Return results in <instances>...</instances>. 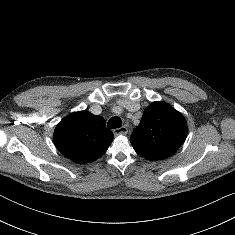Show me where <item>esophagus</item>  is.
Here are the masks:
<instances>
[{
    "instance_id": "34e87169",
    "label": "esophagus",
    "mask_w": 235,
    "mask_h": 235,
    "mask_svg": "<svg viewBox=\"0 0 235 235\" xmlns=\"http://www.w3.org/2000/svg\"><path fill=\"white\" fill-rule=\"evenodd\" d=\"M128 133V128L126 126H122L120 128L114 129L113 134L117 135H126Z\"/></svg>"
}]
</instances>
